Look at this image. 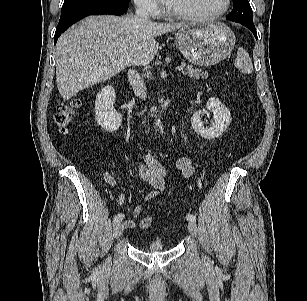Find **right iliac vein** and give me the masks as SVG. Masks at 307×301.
I'll list each match as a JSON object with an SVG mask.
<instances>
[{"mask_svg":"<svg viewBox=\"0 0 307 301\" xmlns=\"http://www.w3.org/2000/svg\"><path fill=\"white\" fill-rule=\"evenodd\" d=\"M122 231H123L122 223L120 221L115 222L113 226V237L115 239L119 238L122 234Z\"/></svg>","mask_w":307,"mask_h":301,"instance_id":"obj_1","label":"right iliac vein"}]
</instances>
